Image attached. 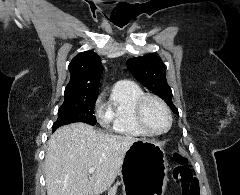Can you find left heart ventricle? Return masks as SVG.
Instances as JSON below:
<instances>
[{
    "label": "left heart ventricle",
    "instance_id": "left-heart-ventricle-1",
    "mask_svg": "<svg viewBox=\"0 0 240 195\" xmlns=\"http://www.w3.org/2000/svg\"><path fill=\"white\" fill-rule=\"evenodd\" d=\"M145 120L149 127L156 131L163 130L167 125L166 115L161 106L154 102L148 101L144 108Z\"/></svg>",
    "mask_w": 240,
    "mask_h": 195
}]
</instances>
